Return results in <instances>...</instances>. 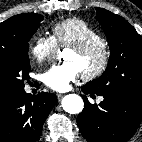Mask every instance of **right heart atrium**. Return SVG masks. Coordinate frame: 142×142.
Segmentation results:
<instances>
[{
    "label": "right heart atrium",
    "instance_id": "obj_1",
    "mask_svg": "<svg viewBox=\"0 0 142 142\" xmlns=\"http://www.w3.org/2000/svg\"><path fill=\"white\" fill-rule=\"evenodd\" d=\"M57 50V44L52 36L37 34L29 46L31 57L37 63H44L53 59Z\"/></svg>",
    "mask_w": 142,
    "mask_h": 142
}]
</instances>
